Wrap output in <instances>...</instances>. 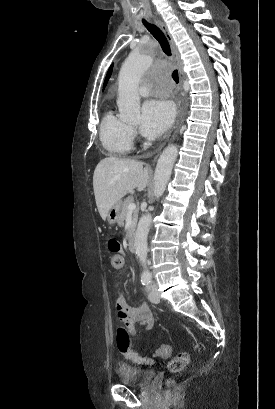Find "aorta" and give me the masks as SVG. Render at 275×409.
<instances>
[{"label": "aorta", "mask_w": 275, "mask_h": 409, "mask_svg": "<svg viewBox=\"0 0 275 409\" xmlns=\"http://www.w3.org/2000/svg\"><path fill=\"white\" fill-rule=\"evenodd\" d=\"M159 54L157 51H130L125 58L118 76V100L117 106L120 112V120L125 122H139L140 96L138 94L139 80L143 76L147 64H154ZM178 156V148L175 144H168L160 154L154 174V196L159 198L163 194L166 184L171 176L173 164ZM152 223L151 215L141 217L134 241L136 255L143 265L142 281H151L152 275L147 269V237Z\"/></svg>", "instance_id": "1"}]
</instances>
